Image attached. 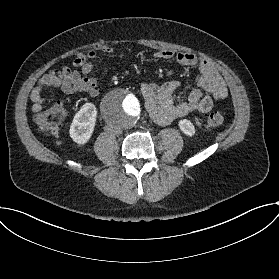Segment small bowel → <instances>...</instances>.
<instances>
[{
    "label": "small bowel",
    "instance_id": "c3829d8e",
    "mask_svg": "<svg viewBox=\"0 0 279 279\" xmlns=\"http://www.w3.org/2000/svg\"><path fill=\"white\" fill-rule=\"evenodd\" d=\"M103 50L110 53L112 49L105 46ZM155 60H175L181 66L200 70L193 80L195 88L189 93L188 99L176 92L180 82L172 80L163 84L144 80L140 83V92L145 101L148 116L158 125H168L174 120L191 112L207 113L212 109L214 100L225 99L228 87L217 70L206 60L189 52L175 53L170 49H161L153 54ZM96 52L89 50L79 53L74 59L75 69L64 67L43 75L30 93L31 110L34 113L42 111L48 98L42 92L48 87H58L65 94L84 93L91 97L99 95V85L96 79L90 77L94 70Z\"/></svg>",
    "mask_w": 279,
    "mask_h": 279
}]
</instances>
